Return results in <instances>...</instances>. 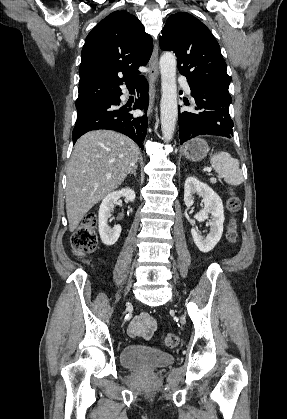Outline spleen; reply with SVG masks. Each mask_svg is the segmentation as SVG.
I'll list each match as a JSON object with an SVG mask.
<instances>
[{
	"instance_id": "1",
	"label": "spleen",
	"mask_w": 287,
	"mask_h": 419,
	"mask_svg": "<svg viewBox=\"0 0 287 419\" xmlns=\"http://www.w3.org/2000/svg\"><path fill=\"white\" fill-rule=\"evenodd\" d=\"M211 166L224 178V181L231 185H240L243 182L242 171L239 168V161L233 158L228 152H218L211 157Z\"/></svg>"
}]
</instances>
